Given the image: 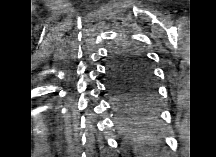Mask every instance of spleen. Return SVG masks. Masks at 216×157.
<instances>
[{
    "instance_id": "1",
    "label": "spleen",
    "mask_w": 216,
    "mask_h": 157,
    "mask_svg": "<svg viewBox=\"0 0 216 157\" xmlns=\"http://www.w3.org/2000/svg\"><path fill=\"white\" fill-rule=\"evenodd\" d=\"M131 141L134 144V151L142 157L154 155V144L159 141L155 133L142 125H138L136 131L131 135Z\"/></svg>"
}]
</instances>
